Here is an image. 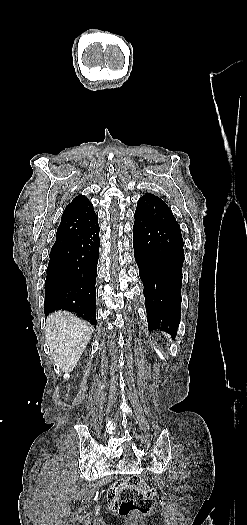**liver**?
Listing matches in <instances>:
<instances>
[{
	"label": "liver",
	"mask_w": 247,
	"mask_h": 525,
	"mask_svg": "<svg viewBox=\"0 0 247 525\" xmlns=\"http://www.w3.org/2000/svg\"><path fill=\"white\" fill-rule=\"evenodd\" d=\"M93 333L87 321H80L69 311L51 313L46 319L45 339L53 359L54 371L64 379L72 373L83 355Z\"/></svg>",
	"instance_id": "liver-1"
}]
</instances>
